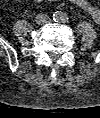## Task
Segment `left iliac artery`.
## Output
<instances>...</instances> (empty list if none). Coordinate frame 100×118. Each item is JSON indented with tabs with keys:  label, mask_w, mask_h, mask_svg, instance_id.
I'll return each instance as SVG.
<instances>
[{
	"label": "left iliac artery",
	"mask_w": 100,
	"mask_h": 118,
	"mask_svg": "<svg viewBox=\"0 0 100 118\" xmlns=\"http://www.w3.org/2000/svg\"><path fill=\"white\" fill-rule=\"evenodd\" d=\"M68 19H69V18H68L67 15H63V17H62V21L66 22Z\"/></svg>",
	"instance_id": "obj_1"
}]
</instances>
